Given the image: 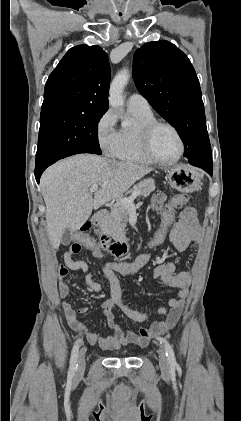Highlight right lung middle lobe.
<instances>
[{
    "label": "right lung middle lobe",
    "mask_w": 241,
    "mask_h": 421,
    "mask_svg": "<svg viewBox=\"0 0 241 421\" xmlns=\"http://www.w3.org/2000/svg\"><path fill=\"white\" fill-rule=\"evenodd\" d=\"M103 114L66 110L41 112L36 165L79 153L100 155L97 128Z\"/></svg>",
    "instance_id": "dd1d6c3e"
}]
</instances>
